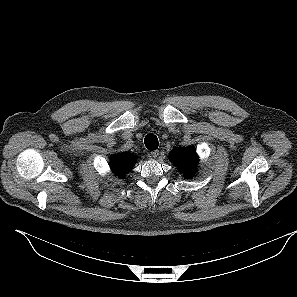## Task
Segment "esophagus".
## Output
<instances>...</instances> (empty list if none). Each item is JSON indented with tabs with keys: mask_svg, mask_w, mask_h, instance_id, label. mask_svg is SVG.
Segmentation results:
<instances>
[{
	"mask_svg": "<svg viewBox=\"0 0 297 297\" xmlns=\"http://www.w3.org/2000/svg\"><path fill=\"white\" fill-rule=\"evenodd\" d=\"M150 155H151L152 158H157V156L159 155V151L158 150L152 151L150 153Z\"/></svg>",
	"mask_w": 297,
	"mask_h": 297,
	"instance_id": "1",
	"label": "esophagus"
}]
</instances>
